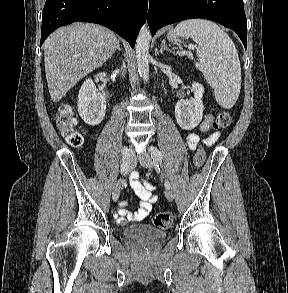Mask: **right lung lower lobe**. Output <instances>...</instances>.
<instances>
[{
    "instance_id": "obj_1",
    "label": "right lung lower lobe",
    "mask_w": 288,
    "mask_h": 293,
    "mask_svg": "<svg viewBox=\"0 0 288 293\" xmlns=\"http://www.w3.org/2000/svg\"><path fill=\"white\" fill-rule=\"evenodd\" d=\"M146 16L147 0H46L40 46L58 27L84 21L106 26L133 48Z\"/></svg>"
}]
</instances>
